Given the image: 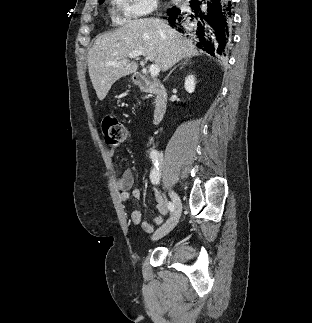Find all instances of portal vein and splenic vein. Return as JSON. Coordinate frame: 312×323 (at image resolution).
Returning a JSON list of instances; mask_svg holds the SVG:
<instances>
[{
  "mask_svg": "<svg viewBox=\"0 0 312 323\" xmlns=\"http://www.w3.org/2000/svg\"><path fill=\"white\" fill-rule=\"evenodd\" d=\"M137 56H145V54L144 52H140V50H135V52H131V54H129V58H137ZM116 62L117 60H115V62H110V64H116ZM149 72L151 76L155 78V76H159L160 68H158V66H155V64H151Z\"/></svg>",
  "mask_w": 312,
  "mask_h": 323,
  "instance_id": "1",
  "label": "portal vein and splenic vein"
}]
</instances>
